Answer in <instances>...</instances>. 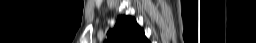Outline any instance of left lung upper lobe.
Listing matches in <instances>:
<instances>
[{"instance_id": "1", "label": "left lung upper lobe", "mask_w": 256, "mask_h": 43, "mask_svg": "<svg viewBox=\"0 0 256 43\" xmlns=\"http://www.w3.org/2000/svg\"><path fill=\"white\" fill-rule=\"evenodd\" d=\"M105 43H150L144 30L132 16H119L113 30L107 33Z\"/></svg>"}]
</instances>
